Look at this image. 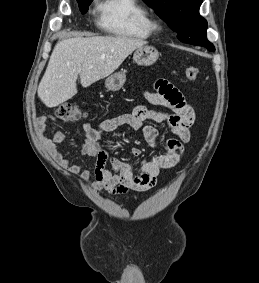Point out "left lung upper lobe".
Segmentation results:
<instances>
[{
    "label": "left lung upper lobe",
    "instance_id": "1",
    "mask_svg": "<svg viewBox=\"0 0 259 283\" xmlns=\"http://www.w3.org/2000/svg\"><path fill=\"white\" fill-rule=\"evenodd\" d=\"M144 1L177 32L181 42L204 47L212 45L206 37L207 21L199 14L203 0Z\"/></svg>",
    "mask_w": 259,
    "mask_h": 283
}]
</instances>
